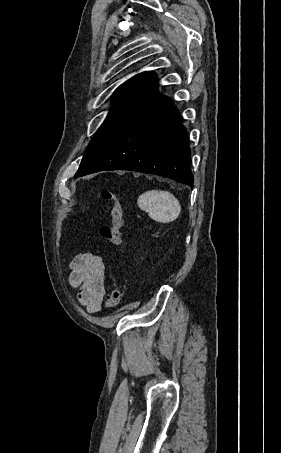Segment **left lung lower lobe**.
I'll list each match as a JSON object with an SVG mask.
<instances>
[{"mask_svg":"<svg viewBox=\"0 0 281 453\" xmlns=\"http://www.w3.org/2000/svg\"><path fill=\"white\" fill-rule=\"evenodd\" d=\"M157 81L75 178L102 170L156 174L193 186L190 148L178 110Z\"/></svg>","mask_w":281,"mask_h":453,"instance_id":"0a47b994","label":"left lung lower lobe"}]
</instances>
